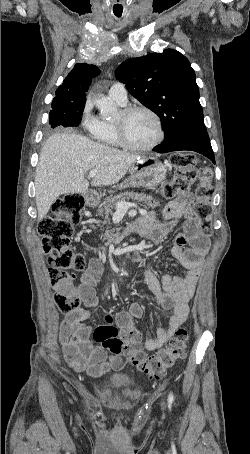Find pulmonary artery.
Returning a JSON list of instances; mask_svg holds the SVG:
<instances>
[{
    "mask_svg": "<svg viewBox=\"0 0 250 454\" xmlns=\"http://www.w3.org/2000/svg\"><path fill=\"white\" fill-rule=\"evenodd\" d=\"M108 95L111 99L114 101H117L118 103L125 105L127 103L128 97H127V90L125 86L122 83L116 82L114 83L109 91Z\"/></svg>",
    "mask_w": 250,
    "mask_h": 454,
    "instance_id": "e3ab8cb5",
    "label": "pulmonary artery"
}]
</instances>
